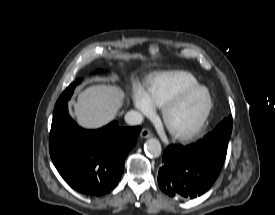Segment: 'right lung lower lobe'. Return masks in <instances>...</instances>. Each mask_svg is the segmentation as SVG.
I'll list each match as a JSON object with an SVG mask.
<instances>
[{
  "instance_id": "98d812e1",
  "label": "right lung lower lobe",
  "mask_w": 275,
  "mask_h": 215,
  "mask_svg": "<svg viewBox=\"0 0 275 215\" xmlns=\"http://www.w3.org/2000/svg\"><path fill=\"white\" fill-rule=\"evenodd\" d=\"M140 131L139 126L119 127L116 121L97 130L82 129L71 119L64 102L54 109L50 156L68 185L80 193L100 196L120 180L125 158Z\"/></svg>"
}]
</instances>
